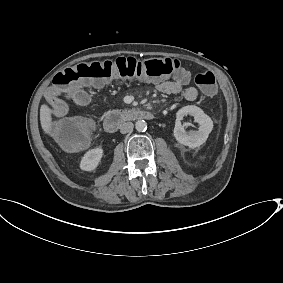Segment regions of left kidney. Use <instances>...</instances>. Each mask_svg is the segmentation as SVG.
Returning a JSON list of instances; mask_svg holds the SVG:
<instances>
[{
  "mask_svg": "<svg viewBox=\"0 0 283 283\" xmlns=\"http://www.w3.org/2000/svg\"><path fill=\"white\" fill-rule=\"evenodd\" d=\"M187 115L193 116L194 122L200 124L199 130L192 131L190 135L185 133L183 126L180 124V121ZM212 130V119L197 106H185L176 114V125L173 131L174 137L179 143L191 150L199 148L201 145H203L208 139V136Z\"/></svg>",
  "mask_w": 283,
  "mask_h": 283,
  "instance_id": "5707ae66",
  "label": "left kidney"
}]
</instances>
